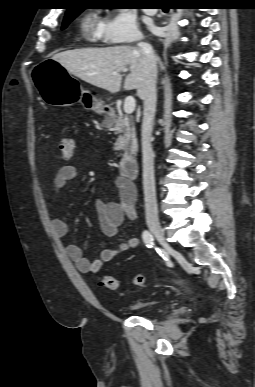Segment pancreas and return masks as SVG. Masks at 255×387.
<instances>
[{"label": "pancreas", "mask_w": 255, "mask_h": 387, "mask_svg": "<svg viewBox=\"0 0 255 387\" xmlns=\"http://www.w3.org/2000/svg\"><path fill=\"white\" fill-rule=\"evenodd\" d=\"M104 125L110 127L116 134H119L114 150L123 151L124 155H133L137 152L138 144L132 118L123 115L108 117L104 121Z\"/></svg>", "instance_id": "1"}]
</instances>
